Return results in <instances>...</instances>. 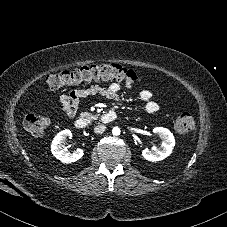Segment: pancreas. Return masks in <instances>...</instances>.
<instances>
[{
	"mask_svg": "<svg viewBox=\"0 0 227 227\" xmlns=\"http://www.w3.org/2000/svg\"><path fill=\"white\" fill-rule=\"evenodd\" d=\"M81 117H85V118H87L89 121L96 120V119L98 118V116L92 115V114L87 113V112L81 113Z\"/></svg>",
	"mask_w": 227,
	"mask_h": 227,
	"instance_id": "pancreas-1",
	"label": "pancreas"
}]
</instances>
